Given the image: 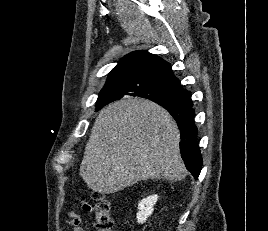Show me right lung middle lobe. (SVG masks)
<instances>
[{"label":"right lung middle lobe","instance_id":"right-lung-middle-lobe-1","mask_svg":"<svg viewBox=\"0 0 268 231\" xmlns=\"http://www.w3.org/2000/svg\"><path fill=\"white\" fill-rule=\"evenodd\" d=\"M131 92L132 96H139L150 99L152 101H167L173 105L188 106L192 104L191 93L179 90L170 85L158 83V82H144L133 86L129 89L125 88H106L101 92V96L97 101V108L99 110L105 104V101L113 96L124 94L126 92Z\"/></svg>","mask_w":268,"mask_h":231}]
</instances>
